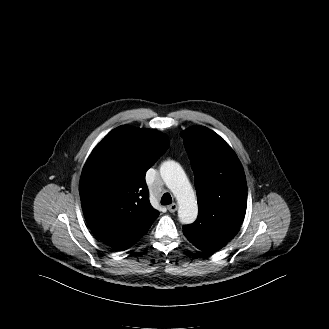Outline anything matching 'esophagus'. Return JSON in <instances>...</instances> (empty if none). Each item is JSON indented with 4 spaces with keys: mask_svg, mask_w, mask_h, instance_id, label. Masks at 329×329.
I'll return each instance as SVG.
<instances>
[{
    "mask_svg": "<svg viewBox=\"0 0 329 329\" xmlns=\"http://www.w3.org/2000/svg\"><path fill=\"white\" fill-rule=\"evenodd\" d=\"M167 209L169 210V212L174 213L178 209V205L176 203H173L167 206Z\"/></svg>",
    "mask_w": 329,
    "mask_h": 329,
    "instance_id": "esophagus-1",
    "label": "esophagus"
}]
</instances>
